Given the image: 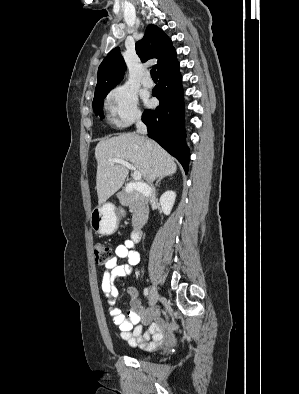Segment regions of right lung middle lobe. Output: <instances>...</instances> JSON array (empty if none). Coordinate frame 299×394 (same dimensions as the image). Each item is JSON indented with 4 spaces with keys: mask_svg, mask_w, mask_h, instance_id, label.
Listing matches in <instances>:
<instances>
[{
    "mask_svg": "<svg viewBox=\"0 0 299 394\" xmlns=\"http://www.w3.org/2000/svg\"><path fill=\"white\" fill-rule=\"evenodd\" d=\"M110 90H104L98 93H95L93 99V110L96 115H99L101 118L104 117L103 115V101L106 95L109 93Z\"/></svg>",
    "mask_w": 299,
    "mask_h": 394,
    "instance_id": "right-lung-middle-lobe-1",
    "label": "right lung middle lobe"
}]
</instances>
